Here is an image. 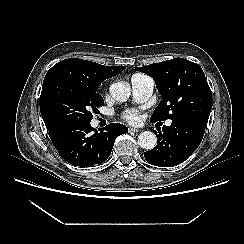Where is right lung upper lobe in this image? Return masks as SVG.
<instances>
[{
	"instance_id": "cb5924a9",
	"label": "right lung upper lobe",
	"mask_w": 244,
	"mask_h": 244,
	"mask_svg": "<svg viewBox=\"0 0 244 244\" xmlns=\"http://www.w3.org/2000/svg\"><path fill=\"white\" fill-rule=\"evenodd\" d=\"M125 68V66H104L79 58H70L55 64L45 77L59 75L89 92L96 93L102 81L117 75Z\"/></svg>"
}]
</instances>
